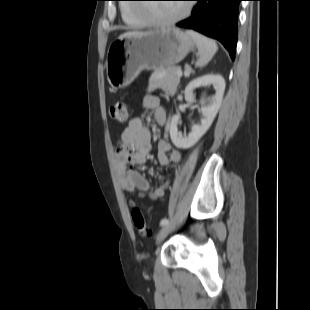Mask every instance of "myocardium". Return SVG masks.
Masks as SVG:
<instances>
[{
  "instance_id": "1",
  "label": "myocardium",
  "mask_w": 310,
  "mask_h": 310,
  "mask_svg": "<svg viewBox=\"0 0 310 310\" xmlns=\"http://www.w3.org/2000/svg\"><path fill=\"white\" fill-rule=\"evenodd\" d=\"M135 14L138 17L144 18L147 22V25L152 26V27H167L174 25L178 23L179 21L183 20L185 17H187L190 14L191 11V4H188L184 7L183 11L176 17L168 20H162V19H157L153 16H151L149 13L147 15L143 14V10L135 8Z\"/></svg>"
}]
</instances>
